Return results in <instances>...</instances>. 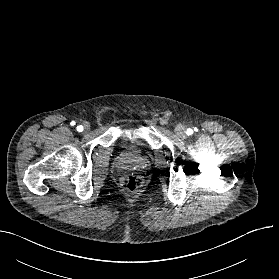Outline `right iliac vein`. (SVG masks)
I'll use <instances>...</instances> for the list:
<instances>
[{
	"instance_id": "63e3f726",
	"label": "right iliac vein",
	"mask_w": 279,
	"mask_h": 279,
	"mask_svg": "<svg viewBox=\"0 0 279 279\" xmlns=\"http://www.w3.org/2000/svg\"><path fill=\"white\" fill-rule=\"evenodd\" d=\"M90 129V125L88 123L84 124V131L87 132Z\"/></svg>"
}]
</instances>
